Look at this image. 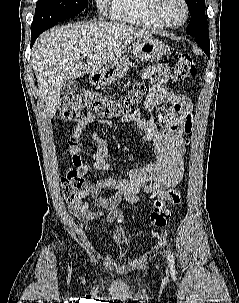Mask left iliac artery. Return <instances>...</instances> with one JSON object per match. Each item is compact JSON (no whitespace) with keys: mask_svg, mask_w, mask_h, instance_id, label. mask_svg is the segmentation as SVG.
Wrapping results in <instances>:
<instances>
[{"mask_svg":"<svg viewBox=\"0 0 239 303\" xmlns=\"http://www.w3.org/2000/svg\"><path fill=\"white\" fill-rule=\"evenodd\" d=\"M167 258H168V261H169V265L171 267H174L175 261H174L173 255L171 254L170 251H167Z\"/></svg>","mask_w":239,"mask_h":303,"instance_id":"left-iliac-artery-1","label":"left iliac artery"}]
</instances>
